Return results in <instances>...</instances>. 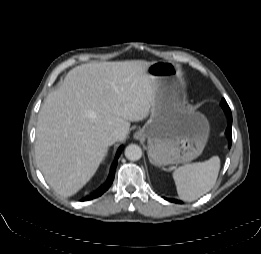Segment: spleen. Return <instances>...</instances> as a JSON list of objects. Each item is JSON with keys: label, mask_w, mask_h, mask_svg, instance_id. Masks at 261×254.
<instances>
[{"label": "spleen", "mask_w": 261, "mask_h": 254, "mask_svg": "<svg viewBox=\"0 0 261 254\" xmlns=\"http://www.w3.org/2000/svg\"><path fill=\"white\" fill-rule=\"evenodd\" d=\"M219 170L218 156L176 168L173 171V179L180 199L194 201L209 192L216 183Z\"/></svg>", "instance_id": "1"}]
</instances>
